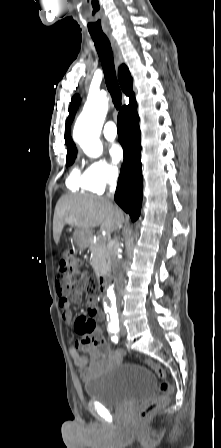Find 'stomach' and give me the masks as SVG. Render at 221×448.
Wrapping results in <instances>:
<instances>
[{
	"label": "stomach",
	"instance_id": "stomach-1",
	"mask_svg": "<svg viewBox=\"0 0 221 448\" xmlns=\"http://www.w3.org/2000/svg\"><path fill=\"white\" fill-rule=\"evenodd\" d=\"M91 238V231L89 229H76L74 232V240L78 245L86 244Z\"/></svg>",
	"mask_w": 221,
	"mask_h": 448
}]
</instances>
